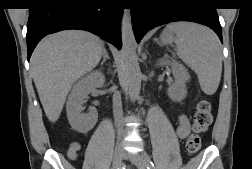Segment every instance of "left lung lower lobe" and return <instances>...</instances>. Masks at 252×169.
I'll return each mask as SVG.
<instances>
[{"mask_svg": "<svg viewBox=\"0 0 252 169\" xmlns=\"http://www.w3.org/2000/svg\"><path fill=\"white\" fill-rule=\"evenodd\" d=\"M168 0L153 8L131 9L132 25L137 43L151 29L176 21L196 22L210 27L222 42L221 25L212 0Z\"/></svg>", "mask_w": 252, "mask_h": 169, "instance_id": "obj_1", "label": "left lung lower lobe"}]
</instances>
